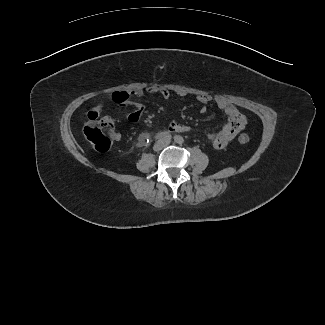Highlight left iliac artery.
Listing matches in <instances>:
<instances>
[{"instance_id":"obj_1","label":"left iliac artery","mask_w":325,"mask_h":325,"mask_svg":"<svg viewBox=\"0 0 325 325\" xmlns=\"http://www.w3.org/2000/svg\"><path fill=\"white\" fill-rule=\"evenodd\" d=\"M174 140H175L176 142L180 143V142H181V137H179V136H175V137H174Z\"/></svg>"}]
</instances>
